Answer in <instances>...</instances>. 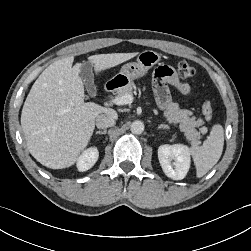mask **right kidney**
Returning a JSON list of instances; mask_svg holds the SVG:
<instances>
[{
  "label": "right kidney",
  "instance_id": "obj_1",
  "mask_svg": "<svg viewBox=\"0 0 251 251\" xmlns=\"http://www.w3.org/2000/svg\"><path fill=\"white\" fill-rule=\"evenodd\" d=\"M99 157V152L96 147H90L83 151V153L78 157L77 168L79 171L84 172L89 170L94 166Z\"/></svg>",
  "mask_w": 251,
  "mask_h": 251
}]
</instances>
